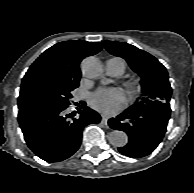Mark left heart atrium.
<instances>
[{
  "mask_svg": "<svg viewBox=\"0 0 194 193\" xmlns=\"http://www.w3.org/2000/svg\"><path fill=\"white\" fill-rule=\"evenodd\" d=\"M125 95L118 88H100L91 97L93 109L105 115L117 113L125 105Z\"/></svg>",
  "mask_w": 194,
  "mask_h": 193,
  "instance_id": "left-heart-atrium-1",
  "label": "left heart atrium"
}]
</instances>
